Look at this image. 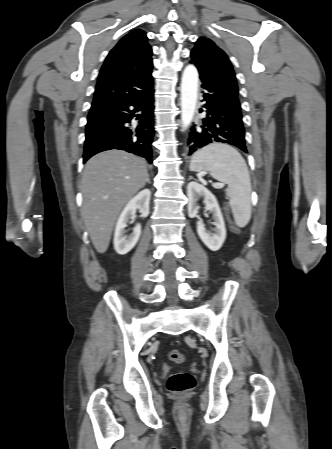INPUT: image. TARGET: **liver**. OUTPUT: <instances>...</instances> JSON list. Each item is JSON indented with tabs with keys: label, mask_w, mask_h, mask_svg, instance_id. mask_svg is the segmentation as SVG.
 <instances>
[{
	"label": "liver",
	"mask_w": 332,
	"mask_h": 449,
	"mask_svg": "<svg viewBox=\"0 0 332 449\" xmlns=\"http://www.w3.org/2000/svg\"><path fill=\"white\" fill-rule=\"evenodd\" d=\"M147 177L145 160L125 151H105L87 161L81 182L82 217L97 252H106L118 215Z\"/></svg>",
	"instance_id": "obj_1"
}]
</instances>
